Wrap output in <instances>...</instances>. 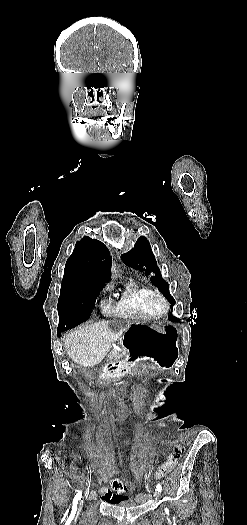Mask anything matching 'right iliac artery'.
<instances>
[{"label":"right iliac artery","instance_id":"82829eb1","mask_svg":"<svg viewBox=\"0 0 247 525\" xmlns=\"http://www.w3.org/2000/svg\"><path fill=\"white\" fill-rule=\"evenodd\" d=\"M81 496H82V492H78L76 494V496L74 497V499H73V506H72V512H71V517L72 518L74 517V515L76 513L77 505H78L79 500L81 499Z\"/></svg>","mask_w":247,"mask_h":525}]
</instances>
